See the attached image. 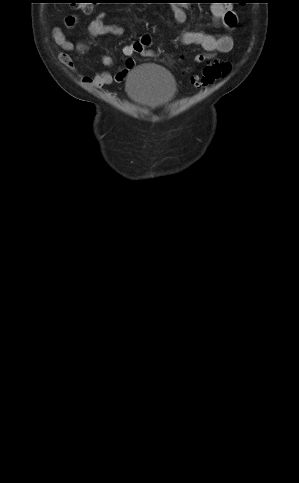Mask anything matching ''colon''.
I'll return each instance as SVG.
<instances>
[{
	"instance_id": "5ec220e1",
	"label": "colon",
	"mask_w": 299,
	"mask_h": 483,
	"mask_svg": "<svg viewBox=\"0 0 299 483\" xmlns=\"http://www.w3.org/2000/svg\"><path fill=\"white\" fill-rule=\"evenodd\" d=\"M80 4H77L79 9L82 11H89L92 4L94 3L93 1L90 0H83L78 2ZM231 70V63L230 62H215L212 64L207 65L204 70L202 75L200 76H194L192 78V83L194 86H205L208 84L213 83L214 81L225 77Z\"/></svg>"
}]
</instances>
